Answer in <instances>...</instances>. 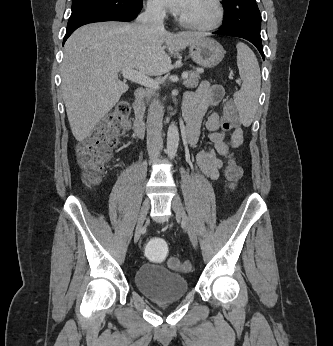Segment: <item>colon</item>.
I'll use <instances>...</instances> for the list:
<instances>
[{
    "mask_svg": "<svg viewBox=\"0 0 333 346\" xmlns=\"http://www.w3.org/2000/svg\"><path fill=\"white\" fill-rule=\"evenodd\" d=\"M131 106L127 101L119 102L105 117L90 137L77 145L78 164L82 169L84 181L89 185L98 183L103 176L112 152L117 146L118 136L128 127ZM239 123L236 108L232 102L224 107L223 125L226 130L235 128ZM225 178L231 187H235L242 176V170L234 157H229L225 167ZM148 244H144L147 260L151 264H164L169 259L168 245L162 235H148ZM172 270L188 272L190 265L177 258L167 262Z\"/></svg>",
    "mask_w": 333,
    "mask_h": 346,
    "instance_id": "colon-1",
    "label": "colon"
}]
</instances>
